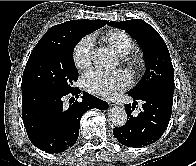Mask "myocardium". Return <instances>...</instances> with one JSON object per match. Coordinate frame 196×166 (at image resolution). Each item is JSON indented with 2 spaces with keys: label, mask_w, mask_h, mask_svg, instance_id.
<instances>
[{
  "label": "myocardium",
  "mask_w": 196,
  "mask_h": 166,
  "mask_svg": "<svg viewBox=\"0 0 196 166\" xmlns=\"http://www.w3.org/2000/svg\"><path fill=\"white\" fill-rule=\"evenodd\" d=\"M132 61H133V62H136V61H137V59H136V58H132Z\"/></svg>",
  "instance_id": "f54148a6"
}]
</instances>
